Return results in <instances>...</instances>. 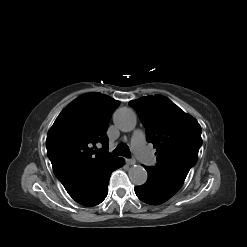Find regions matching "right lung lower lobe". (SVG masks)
<instances>
[{
	"label": "right lung lower lobe",
	"instance_id": "1",
	"mask_svg": "<svg viewBox=\"0 0 247 247\" xmlns=\"http://www.w3.org/2000/svg\"><path fill=\"white\" fill-rule=\"evenodd\" d=\"M123 158H116L109 166L81 182L69 195L79 204L91 207L100 204L108 194L111 173L124 164Z\"/></svg>",
	"mask_w": 247,
	"mask_h": 247
}]
</instances>
